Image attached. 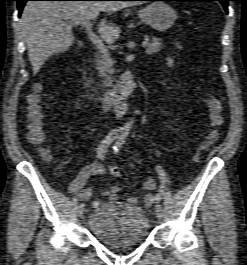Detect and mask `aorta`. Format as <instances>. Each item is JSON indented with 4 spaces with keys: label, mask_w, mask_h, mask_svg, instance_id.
<instances>
[{
    "label": "aorta",
    "mask_w": 247,
    "mask_h": 265,
    "mask_svg": "<svg viewBox=\"0 0 247 265\" xmlns=\"http://www.w3.org/2000/svg\"><path fill=\"white\" fill-rule=\"evenodd\" d=\"M132 125H133V121L131 120L130 122H128L127 124L124 125L123 129L125 131H129L131 129Z\"/></svg>",
    "instance_id": "1"
}]
</instances>
